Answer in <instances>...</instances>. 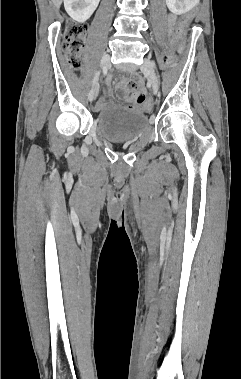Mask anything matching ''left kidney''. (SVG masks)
I'll return each instance as SVG.
<instances>
[{
    "mask_svg": "<svg viewBox=\"0 0 241 379\" xmlns=\"http://www.w3.org/2000/svg\"><path fill=\"white\" fill-rule=\"evenodd\" d=\"M198 3L199 0H166L168 9L176 15L187 13Z\"/></svg>",
    "mask_w": 241,
    "mask_h": 379,
    "instance_id": "1",
    "label": "left kidney"
}]
</instances>
